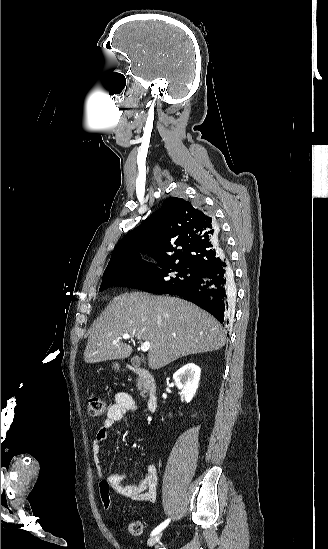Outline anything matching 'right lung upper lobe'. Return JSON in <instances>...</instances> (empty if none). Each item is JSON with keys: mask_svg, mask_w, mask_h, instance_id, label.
Instances as JSON below:
<instances>
[{"mask_svg": "<svg viewBox=\"0 0 328 549\" xmlns=\"http://www.w3.org/2000/svg\"><path fill=\"white\" fill-rule=\"evenodd\" d=\"M139 251L158 262L178 261L196 271L226 256L215 219L177 197L167 198L159 210L121 239L106 269L126 260L143 261ZM170 252L174 253L167 255Z\"/></svg>", "mask_w": 328, "mask_h": 549, "instance_id": "1", "label": "right lung upper lobe"}]
</instances>
